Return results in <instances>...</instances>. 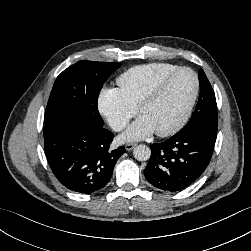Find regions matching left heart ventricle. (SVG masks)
I'll use <instances>...</instances> for the list:
<instances>
[{"label": "left heart ventricle", "mask_w": 251, "mask_h": 251, "mask_svg": "<svg viewBox=\"0 0 251 251\" xmlns=\"http://www.w3.org/2000/svg\"><path fill=\"white\" fill-rule=\"evenodd\" d=\"M194 77L188 72L176 75L165 87L160 96L146 106L144 116L154 131L172 127L183 115L194 92Z\"/></svg>", "instance_id": "b2bd125f"}]
</instances>
